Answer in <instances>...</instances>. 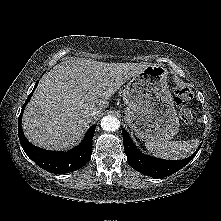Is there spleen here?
<instances>
[{
	"instance_id": "3e777b00",
	"label": "spleen",
	"mask_w": 221,
	"mask_h": 221,
	"mask_svg": "<svg viewBox=\"0 0 221 221\" xmlns=\"http://www.w3.org/2000/svg\"><path fill=\"white\" fill-rule=\"evenodd\" d=\"M145 146L153 155L171 160L190 156L199 146V140L146 142Z\"/></svg>"
}]
</instances>
